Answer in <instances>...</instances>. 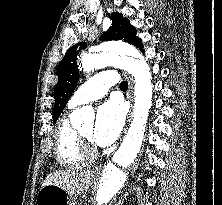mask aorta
I'll return each instance as SVG.
<instances>
[{"instance_id": "762f6f07", "label": "aorta", "mask_w": 222, "mask_h": 205, "mask_svg": "<svg viewBox=\"0 0 222 205\" xmlns=\"http://www.w3.org/2000/svg\"><path fill=\"white\" fill-rule=\"evenodd\" d=\"M81 63L85 72L114 65L124 68L135 77L133 123L120 148L104 167L95 191L97 204L106 205L120 192L143 150L146 124L154 96L152 75L139 51L124 43L104 44L98 52L85 53ZM93 121L94 112L90 106L76 109L71 114V123L74 127Z\"/></svg>"}]
</instances>
